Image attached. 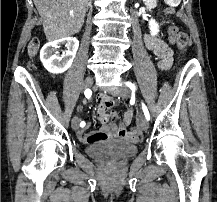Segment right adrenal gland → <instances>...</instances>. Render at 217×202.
Listing matches in <instances>:
<instances>
[{"label": "right adrenal gland", "instance_id": "2a0ac1e0", "mask_svg": "<svg viewBox=\"0 0 217 202\" xmlns=\"http://www.w3.org/2000/svg\"><path fill=\"white\" fill-rule=\"evenodd\" d=\"M88 6H91V0H90V2H89Z\"/></svg>", "mask_w": 217, "mask_h": 202}]
</instances>
